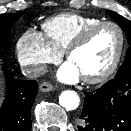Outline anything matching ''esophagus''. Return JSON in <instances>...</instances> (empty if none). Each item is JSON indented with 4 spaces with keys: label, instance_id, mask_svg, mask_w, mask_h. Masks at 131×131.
Instances as JSON below:
<instances>
[{
    "label": "esophagus",
    "instance_id": "obj_1",
    "mask_svg": "<svg viewBox=\"0 0 131 131\" xmlns=\"http://www.w3.org/2000/svg\"><path fill=\"white\" fill-rule=\"evenodd\" d=\"M39 88L42 92H50L54 89V87L50 83H47V82L40 84Z\"/></svg>",
    "mask_w": 131,
    "mask_h": 131
}]
</instances>
